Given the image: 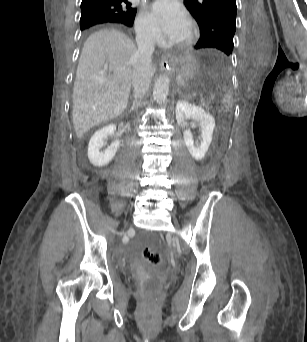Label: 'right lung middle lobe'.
<instances>
[{"label":"right lung middle lobe","mask_w":307,"mask_h":342,"mask_svg":"<svg viewBox=\"0 0 307 342\" xmlns=\"http://www.w3.org/2000/svg\"><path fill=\"white\" fill-rule=\"evenodd\" d=\"M120 15L109 9H88L81 10L80 28L81 30L90 26L115 20Z\"/></svg>","instance_id":"obj_1"}]
</instances>
